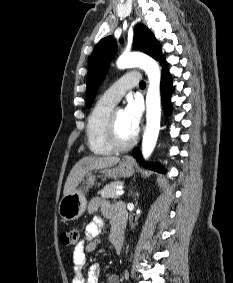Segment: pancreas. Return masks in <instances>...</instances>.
<instances>
[{"instance_id":"cf45deb5","label":"pancreas","mask_w":233,"mask_h":283,"mask_svg":"<svg viewBox=\"0 0 233 283\" xmlns=\"http://www.w3.org/2000/svg\"><path fill=\"white\" fill-rule=\"evenodd\" d=\"M123 185V182L117 181V182H111L110 184H106L103 189L98 191V194L102 198H112L116 199L119 196H117L115 193L118 190L119 187Z\"/></svg>"}]
</instances>
